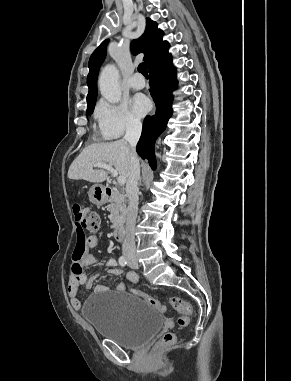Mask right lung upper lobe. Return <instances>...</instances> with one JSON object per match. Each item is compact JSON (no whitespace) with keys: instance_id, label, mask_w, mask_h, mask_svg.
Segmentation results:
<instances>
[{"instance_id":"cb5924a9","label":"right lung upper lobe","mask_w":291,"mask_h":381,"mask_svg":"<svg viewBox=\"0 0 291 381\" xmlns=\"http://www.w3.org/2000/svg\"><path fill=\"white\" fill-rule=\"evenodd\" d=\"M163 35V31L157 28V23L151 19H147L144 34L140 38L132 41V53L137 55L143 52L145 54L143 60L146 62L148 69L169 55L168 49L170 46L167 41L162 40ZM108 42V39L102 42L90 57V72L87 76V85L89 88L87 105L96 102V81L100 66L106 57V47Z\"/></svg>"}]
</instances>
